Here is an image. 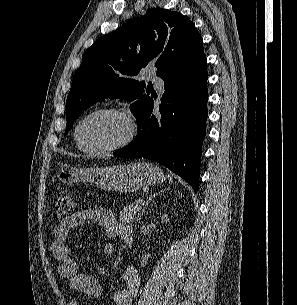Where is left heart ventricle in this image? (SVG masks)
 Masks as SVG:
<instances>
[{
    "mask_svg": "<svg viewBox=\"0 0 297 305\" xmlns=\"http://www.w3.org/2000/svg\"><path fill=\"white\" fill-rule=\"evenodd\" d=\"M127 133L125 121L112 114H98L81 126L80 137L86 147L110 146L121 141Z\"/></svg>",
    "mask_w": 297,
    "mask_h": 305,
    "instance_id": "left-heart-ventricle-1",
    "label": "left heart ventricle"
}]
</instances>
